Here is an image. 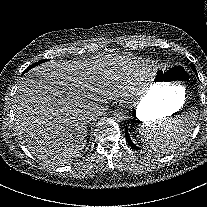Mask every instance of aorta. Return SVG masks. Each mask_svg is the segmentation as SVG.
Segmentation results:
<instances>
[{
    "mask_svg": "<svg viewBox=\"0 0 207 207\" xmlns=\"http://www.w3.org/2000/svg\"><path fill=\"white\" fill-rule=\"evenodd\" d=\"M113 118L116 121H126L129 119V112L125 107H119L113 111Z\"/></svg>",
    "mask_w": 207,
    "mask_h": 207,
    "instance_id": "aorta-1",
    "label": "aorta"
}]
</instances>
